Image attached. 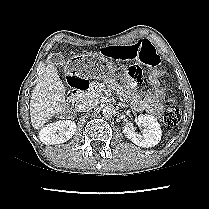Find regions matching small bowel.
<instances>
[{
    "instance_id": "obj_1",
    "label": "small bowel",
    "mask_w": 209,
    "mask_h": 209,
    "mask_svg": "<svg viewBox=\"0 0 209 209\" xmlns=\"http://www.w3.org/2000/svg\"><path fill=\"white\" fill-rule=\"evenodd\" d=\"M126 76L134 86H142L146 82V75L136 64L127 66ZM148 85V90L143 95L131 96V104L136 111H145L158 116L164 109V89L153 76L149 78Z\"/></svg>"
}]
</instances>
